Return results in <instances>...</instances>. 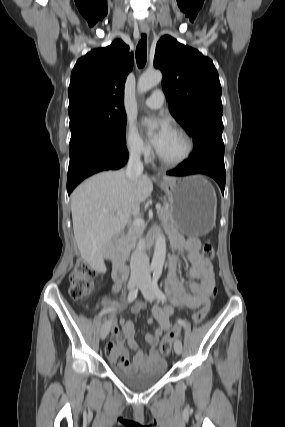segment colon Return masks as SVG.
<instances>
[{"label": "colon", "mask_w": 285, "mask_h": 427, "mask_svg": "<svg viewBox=\"0 0 285 427\" xmlns=\"http://www.w3.org/2000/svg\"><path fill=\"white\" fill-rule=\"evenodd\" d=\"M203 257L206 260L215 258V249L211 244H205L202 250ZM96 272L83 260H78L70 274L69 294L74 301H81L89 296L94 288V280ZM217 295V288L214 287L210 293V299L204 304L203 307L198 309L193 315V322L195 324L201 323L207 316L211 301ZM180 329L175 327L169 331L163 338L160 344V351L162 354L167 355L172 349L173 340L179 335ZM117 360L122 362V356H118Z\"/></svg>", "instance_id": "obj_1"}]
</instances>
